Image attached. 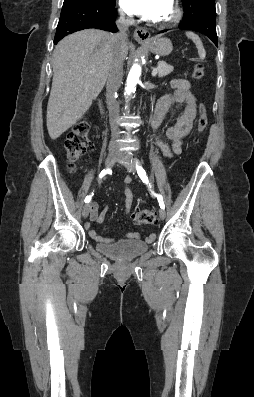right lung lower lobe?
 <instances>
[{
	"mask_svg": "<svg viewBox=\"0 0 254 397\" xmlns=\"http://www.w3.org/2000/svg\"><path fill=\"white\" fill-rule=\"evenodd\" d=\"M115 18V5L105 7L81 0H64L54 44L68 34L87 28L116 32Z\"/></svg>",
	"mask_w": 254,
	"mask_h": 397,
	"instance_id": "obj_1",
	"label": "right lung lower lobe"
}]
</instances>
